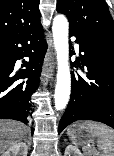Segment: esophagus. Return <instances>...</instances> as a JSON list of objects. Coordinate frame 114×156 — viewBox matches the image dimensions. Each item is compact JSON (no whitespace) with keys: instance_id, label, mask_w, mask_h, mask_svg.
<instances>
[{"instance_id":"obj_1","label":"esophagus","mask_w":114,"mask_h":156,"mask_svg":"<svg viewBox=\"0 0 114 156\" xmlns=\"http://www.w3.org/2000/svg\"><path fill=\"white\" fill-rule=\"evenodd\" d=\"M55 58L53 52L49 51L44 59L42 73L43 76L51 78L54 71Z\"/></svg>"}]
</instances>
